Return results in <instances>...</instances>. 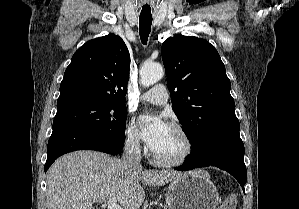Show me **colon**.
<instances>
[{
  "label": "colon",
  "mask_w": 299,
  "mask_h": 209,
  "mask_svg": "<svg viewBox=\"0 0 299 209\" xmlns=\"http://www.w3.org/2000/svg\"><path fill=\"white\" fill-rule=\"evenodd\" d=\"M236 199L233 196L227 197L221 204L220 209H235Z\"/></svg>",
  "instance_id": "obj_1"
}]
</instances>
